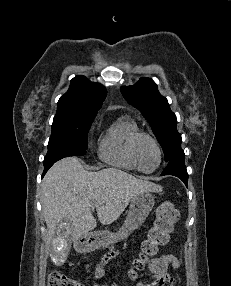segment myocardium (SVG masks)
Wrapping results in <instances>:
<instances>
[{
  "instance_id": "obj_1",
  "label": "myocardium",
  "mask_w": 231,
  "mask_h": 286,
  "mask_svg": "<svg viewBox=\"0 0 231 286\" xmlns=\"http://www.w3.org/2000/svg\"><path fill=\"white\" fill-rule=\"evenodd\" d=\"M143 138L149 139L155 145V147L158 151V155H159V161H158L157 166L150 171L144 170L140 166L138 159H137V146H138L139 141ZM129 154H130V158H131L134 166L136 167V169L139 170L140 172L146 173V174H150V173L155 172L161 166L162 161H163V150H162V147H161L159 141L152 134L147 133V132H143V131L137 132L131 138L130 144H129Z\"/></svg>"
}]
</instances>
